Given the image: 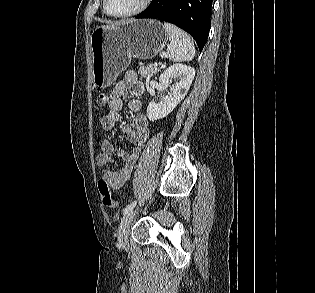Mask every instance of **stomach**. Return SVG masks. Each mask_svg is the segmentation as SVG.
Here are the masks:
<instances>
[{
  "label": "stomach",
  "instance_id": "stomach-1",
  "mask_svg": "<svg viewBox=\"0 0 315 293\" xmlns=\"http://www.w3.org/2000/svg\"><path fill=\"white\" fill-rule=\"evenodd\" d=\"M167 41L164 26L156 20H128L96 27L90 35L94 85L101 88L112 85L132 58L151 59Z\"/></svg>",
  "mask_w": 315,
  "mask_h": 293
}]
</instances>
